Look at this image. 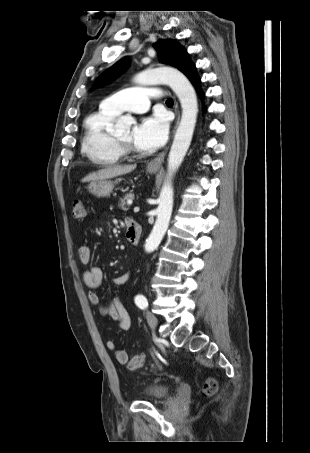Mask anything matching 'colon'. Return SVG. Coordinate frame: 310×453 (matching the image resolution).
Returning a JSON list of instances; mask_svg holds the SVG:
<instances>
[{"mask_svg": "<svg viewBox=\"0 0 310 453\" xmlns=\"http://www.w3.org/2000/svg\"><path fill=\"white\" fill-rule=\"evenodd\" d=\"M85 214H86V209H85L84 203L80 200H76L72 206L73 217L76 219H82V218H84ZM144 363H145L144 355L136 354L130 359L127 367L129 370H136V369L141 368L144 365ZM217 388H218L217 381L213 378H208L203 383L202 394L205 397L212 396L216 393Z\"/></svg>", "mask_w": 310, "mask_h": 453, "instance_id": "5ec220e1", "label": "colon"}]
</instances>
